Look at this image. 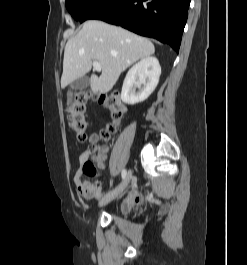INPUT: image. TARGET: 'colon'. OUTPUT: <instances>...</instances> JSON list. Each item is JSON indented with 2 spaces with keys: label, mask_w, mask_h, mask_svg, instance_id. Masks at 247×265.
I'll use <instances>...</instances> for the list:
<instances>
[{
  "label": "colon",
  "mask_w": 247,
  "mask_h": 265,
  "mask_svg": "<svg viewBox=\"0 0 247 265\" xmlns=\"http://www.w3.org/2000/svg\"><path fill=\"white\" fill-rule=\"evenodd\" d=\"M90 93L86 91H76L72 95V101L68 105V124L71 130L75 133L77 139L80 142L90 141L93 144L100 140H107L116 131L120 125L125 113L126 107L120 100L118 94L107 93L100 94L96 97V100L104 106V108L110 113L111 123L102 130L98 135L94 134L88 136L89 121L87 118V101L90 99ZM102 149L99 147L94 148L95 156H99ZM86 174L93 176L96 174V168L92 162H87L84 166Z\"/></svg>",
  "instance_id": "5ec220e1"
}]
</instances>
